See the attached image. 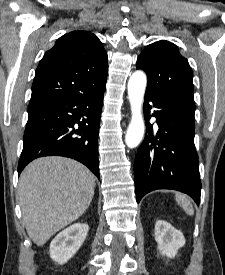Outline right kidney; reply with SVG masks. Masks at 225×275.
I'll list each match as a JSON object with an SVG mask.
<instances>
[{
    "label": "right kidney",
    "mask_w": 225,
    "mask_h": 275,
    "mask_svg": "<svg viewBox=\"0 0 225 275\" xmlns=\"http://www.w3.org/2000/svg\"><path fill=\"white\" fill-rule=\"evenodd\" d=\"M89 227L76 223L61 231L51 242L49 254L58 264H64L80 249L86 239Z\"/></svg>",
    "instance_id": "right-kidney-1"
}]
</instances>
